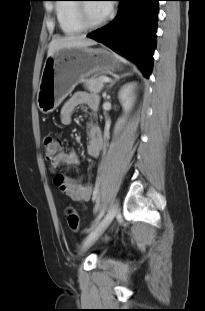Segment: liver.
<instances>
[{
	"label": "liver",
	"mask_w": 205,
	"mask_h": 311,
	"mask_svg": "<svg viewBox=\"0 0 205 311\" xmlns=\"http://www.w3.org/2000/svg\"><path fill=\"white\" fill-rule=\"evenodd\" d=\"M96 44L97 42L95 40L86 38L85 35L58 37L52 39L50 42L47 56L51 57L54 53L64 48H80Z\"/></svg>",
	"instance_id": "liver-1"
}]
</instances>
